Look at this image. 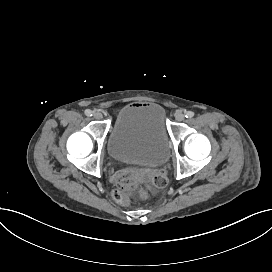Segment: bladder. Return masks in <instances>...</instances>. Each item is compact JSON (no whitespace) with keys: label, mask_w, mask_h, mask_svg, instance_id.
I'll list each match as a JSON object with an SVG mask.
<instances>
[{"label":"bladder","mask_w":272,"mask_h":272,"mask_svg":"<svg viewBox=\"0 0 272 272\" xmlns=\"http://www.w3.org/2000/svg\"><path fill=\"white\" fill-rule=\"evenodd\" d=\"M106 148L115 160L133 161L147 167L166 164L169 145L162 106H124L107 137Z\"/></svg>","instance_id":"31cf9c89"}]
</instances>
